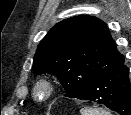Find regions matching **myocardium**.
I'll return each mask as SVG.
<instances>
[{
	"label": "myocardium",
	"mask_w": 131,
	"mask_h": 115,
	"mask_svg": "<svg viewBox=\"0 0 131 115\" xmlns=\"http://www.w3.org/2000/svg\"><path fill=\"white\" fill-rule=\"evenodd\" d=\"M54 90L53 83L48 78H39L33 88L35 97L42 96L43 100L50 98Z\"/></svg>",
	"instance_id": "1"
}]
</instances>
